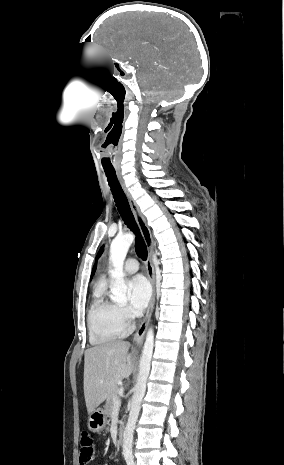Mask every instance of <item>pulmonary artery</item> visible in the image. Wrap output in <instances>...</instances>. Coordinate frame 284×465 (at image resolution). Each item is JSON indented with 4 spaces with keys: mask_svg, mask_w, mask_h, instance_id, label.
I'll return each mask as SVG.
<instances>
[{
    "mask_svg": "<svg viewBox=\"0 0 284 465\" xmlns=\"http://www.w3.org/2000/svg\"><path fill=\"white\" fill-rule=\"evenodd\" d=\"M138 268H139L138 261L133 258H129L126 261L125 265L123 266V270L125 274H128V275L137 272Z\"/></svg>",
    "mask_w": 284,
    "mask_h": 465,
    "instance_id": "pulmonary-artery-1",
    "label": "pulmonary artery"
}]
</instances>
